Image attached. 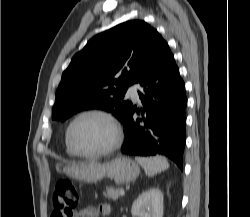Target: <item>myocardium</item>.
<instances>
[{
	"instance_id": "obj_1",
	"label": "myocardium",
	"mask_w": 250,
	"mask_h": 217,
	"mask_svg": "<svg viewBox=\"0 0 250 217\" xmlns=\"http://www.w3.org/2000/svg\"><path fill=\"white\" fill-rule=\"evenodd\" d=\"M90 115L99 116L108 122V124L111 127L112 139L109 145L103 148L102 150L88 153V152L80 151L75 146L72 140V131L76 122H78L83 117L90 116ZM122 138H123V132H122V128H121L119 121L111 112L102 108H88L79 112L77 115H75L72 118L66 130V140L70 149L73 151L75 155L82 157V158L95 159V158H100V157H104L109 154H112L114 151H116L120 147Z\"/></svg>"
}]
</instances>
